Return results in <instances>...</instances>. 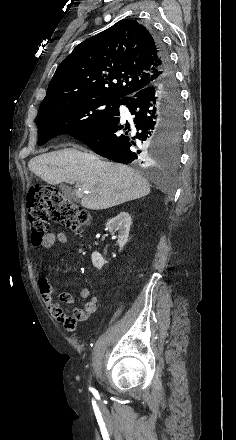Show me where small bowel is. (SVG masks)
I'll list each match as a JSON object with an SVG mask.
<instances>
[{"label":"small bowel","mask_w":236,"mask_h":440,"mask_svg":"<svg viewBox=\"0 0 236 440\" xmlns=\"http://www.w3.org/2000/svg\"><path fill=\"white\" fill-rule=\"evenodd\" d=\"M68 242V236L64 232H50L42 240L41 246L45 249H50L59 244H66ZM39 289L41 297L45 305L47 306L50 314L61 322V320L71 317L75 321H63V330H79L80 321H85L91 314H93L97 309L98 298L96 296H90L89 288H82L79 291V296L86 300L83 308H76L73 315L66 313L59 304L54 301L53 293L50 290L48 283L45 278L41 277L39 279ZM57 296L59 300L63 303H72L73 296L67 291H58Z\"/></svg>","instance_id":"c3829d8e"}]
</instances>
